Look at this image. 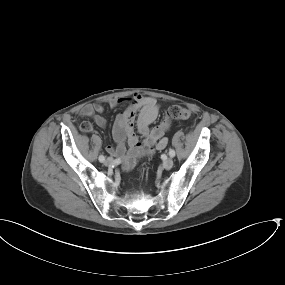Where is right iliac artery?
<instances>
[{"mask_svg":"<svg viewBox=\"0 0 285 285\" xmlns=\"http://www.w3.org/2000/svg\"><path fill=\"white\" fill-rule=\"evenodd\" d=\"M99 161H100V162H104V161H105V157H104L103 155H100V156H99Z\"/></svg>","mask_w":285,"mask_h":285,"instance_id":"82829eb1","label":"right iliac artery"}]
</instances>
